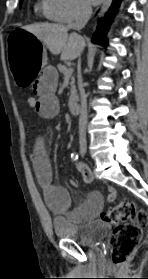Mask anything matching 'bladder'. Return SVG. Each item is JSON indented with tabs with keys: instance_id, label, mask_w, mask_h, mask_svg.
<instances>
[{
	"instance_id": "31cf9c89",
	"label": "bladder",
	"mask_w": 148,
	"mask_h": 279,
	"mask_svg": "<svg viewBox=\"0 0 148 279\" xmlns=\"http://www.w3.org/2000/svg\"><path fill=\"white\" fill-rule=\"evenodd\" d=\"M52 226L59 238L71 240L83 246L96 244L104 239L109 232V225L101 220L76 224L68 217H55Z\"/></svg>"
}]
</instances>
